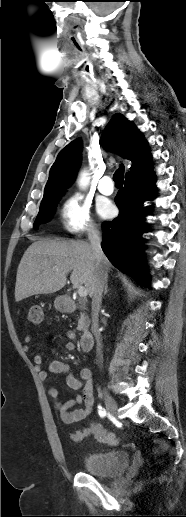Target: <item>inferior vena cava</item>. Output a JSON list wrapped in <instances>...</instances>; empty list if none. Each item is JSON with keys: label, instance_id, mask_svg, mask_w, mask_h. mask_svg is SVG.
I'll list each match as a JSON object with an SVG mask.
<instances>
[{"label": "inferior vena cava", "instance_id": "obj_1", "mask_svg": "<svg viewBox=\"0 0 186 517\" xmlns=\"http://www.w3.org/2000/svg\"><path fill=\"white\" fill-rule=\"evenodd\" d=\"M92 249L94 251V255L96 258V272L94 277V283H93V298H92V333L95 336L97 347H96V353L97 357L102 363L103 360V354H102V343H101V334L99 332V322H98V316H99V310L101 306L102 301V293L104 290V287L107 282V271L104 268L103 260L105 258V255L101 249V235L97 228L93 229L89 236Z\"/></svg>", "mask_w": 186, "mask_h": 517}]
</instances>
